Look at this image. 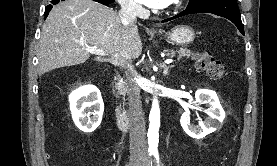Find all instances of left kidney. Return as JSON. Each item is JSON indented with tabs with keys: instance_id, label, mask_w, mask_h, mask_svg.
Listing matches in <instances>:
<instances>
[{
	"instance_id": "1",
	"label": "left kidney",
	"mask_w": 277,
	"mask_h": 166,
	"mask_svg": "<svg viewBox=\"0 0 277 166\" xmlns=\"http://www.w3.org/2000/svg\"><path fill=\"white\" fill-rule=\"evenodd\" d=\"M195 99L197 105H206L207 109L204 111L208 117H206L203 122H199V126H194L190 124L189 112H184L181 116L180 123L187 135L192 138L201 139L220 127L225 118V112L220 104L217 94L212 90H197L195 93Z\"/></svg>"
}]
</instances>
